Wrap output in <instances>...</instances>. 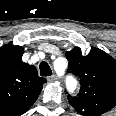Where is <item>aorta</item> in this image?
Masks as SVG:
<instances>
[{"instance_id":"obj_1","label":"aorta","mask_w":116,"mask_h":116,"mask_svg":"<svg viewBox=\"0 0 116 116\" xmlns=\"http://www.w3.org/2000/svg\"><path fill=\"white\" fill-rule=\"evenodd\" d=\"M66 84H67V88H68V90L70 92H73L76 89V87H77V81L74 78H72V77H69L67 79Z\"/></svg>"}]
</instances>
